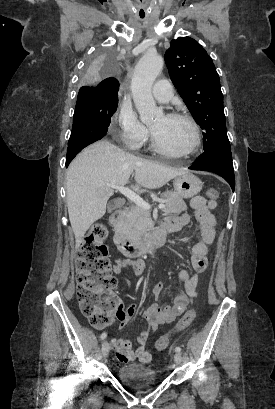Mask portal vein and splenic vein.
<instances>
[{
  "label": "portal vein and splenic vein",
  "mask_w": 275,
  "mask_h": 409,
  "mask_svg": "<svg viewBox=\"0 0 275 409\" xmlns=\"http://www.w3.org/2000/svg\"><path fill=\"white\" fill-rule=\"evenodd\" d=\"M108 186H112V188H118L122 194H125L127 198H130V200H133L135 202V205H138V207H143V209H150L149 202H145L139 194H136V192H133V190H130L128 186H117V184H109V182H106ZM166 205H158V209H165Z\"/></svg>",
  "instance_id": "obj_1"
}]
</instances>
